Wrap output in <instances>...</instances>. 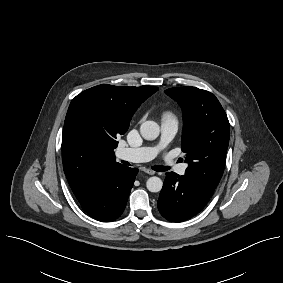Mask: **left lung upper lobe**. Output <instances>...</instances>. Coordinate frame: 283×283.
I'll return each mask as SVG.
<instances>
[{
  "mask_svg": "<svg viewBox=\"0 0 283 283\" xmlns=\"http://www.w3.org/2000/svg\"><path fill=\"white\" fill-rule=\"evenodd\" d=\"M165 93L177 101L184 126L182 151L188 167L185 175L204 192L213 194L224 171L230 125L218 99L196 87H176Z\"/></svg>",
  "mask_w": 283,
  "mask_h": 283,
  "instance_id": "1",
  "label": "left lung upper lobe"
}]
</instances>
